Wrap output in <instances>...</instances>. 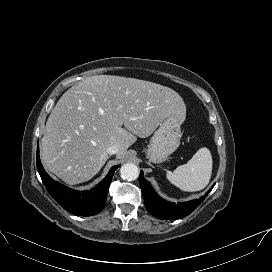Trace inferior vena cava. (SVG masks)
I'll return each instance as SVG.
<instances>
[{"instance_id":"obj_1","label":"inferior vena cava","mask_w":272,"mask_h":272,"mask_svg":"<svg viewBox=\"0 0 272 272\" xmlns=\"http://www.w3.org/2000/svg\"><path fill=\"white\" fill-rule=\"evenodd\" d=\"M119 152V146L118 145H111L107 148V153L109 155L117 154Z\"/></svg>"}]
</instances>
